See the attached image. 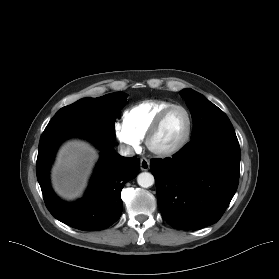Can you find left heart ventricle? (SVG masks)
<instances>
[{
    "label": "left heart ventricle",
    "instance_id": "b2bd125f",
    "mask_svg": "<svg viewBox=\"0 0 279 279\" xmlns=\"http://www.w3.org/2000/svg\"><path fill=\"white\" fill-rule=\"evenodd\" d=\"M187 127V118L180 109L171 111L154 137L153 145L157 148H169L183 137Z\"/></svg>",
    "mask_w": 279,
    "mask_h": 279
}]
</instances>
